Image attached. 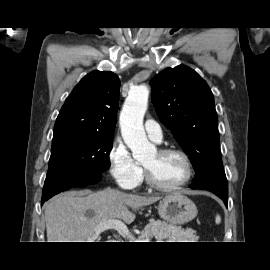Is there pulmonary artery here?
I'll return each instance as SVG.
<instances>
[{"mask_svg":"<svg viewBox=\"0 0 270 270\" xmlns=\"http://www.w3.org/2000/svg\"><path fill=\"white\" fill-rule=\"evenodd\" d=\"M144 127L149 138H151L155 142H160L162 140V129L159 124L156 123L154 120L148 119L145 122Z\"/></svg>","mask_w":270,"mask_h":270,"instance_id":"e3ab8cb5","label":"pulmonary artery"}]
</instances>
